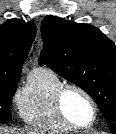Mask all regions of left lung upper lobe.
Returning a JSON list of instances; mask_svg holds the SVG:
<instances>
[{
  "instance_id": "5c2ea615",
  "label": "left lung upper lobe",
  "mask_w": 116,
  "mask_h": 134,
  "mask_svg": "<svg viewBox=\"0 0 116 134\" xmlns=\"http://www.w3.org/2000/svg\"><path fill=\"white\" fill-rule=\"evenodd\" d=\"M40 65L88 93L116 134V46L98 28L46 16Z\"/></svg>"
}]
</instances>
